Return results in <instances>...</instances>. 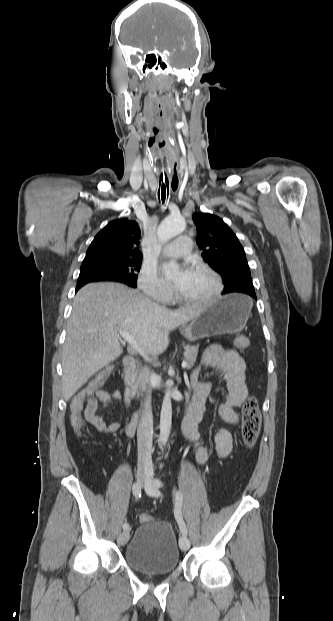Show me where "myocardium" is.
I'll list each match as a JSON object with an SVG mask.
<instances>
[{"mask_svg": "<svg viewBox=\"0 0 333 621\" xmlns=\"http://www.w3.org/2000/svg\"><path fill=\"white\" fill-rule=\"evenodd\" d=\"M191 270L205 272L210 275L215 282V290L210 296L204 298H187L176 292V300L184 304L205 305L210 304L218 299L223 291V282L221 276L212 267L205 263H194L191 266Z\"/></svg>", "mask_w": 333, "mask_h": 621, "instance_id": "myocardium-1", "label": "myocardium"}]
</instances>
